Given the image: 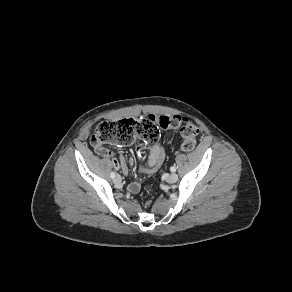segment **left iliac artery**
I'll use <instances>...</instances> for the list:
<instances>
[{
  "label": "left iliac artery",
  "mask_w": 292,
  "mask_h": 292,
  "mask_svg": "<svg viewBox=\"0 0 292 292\" xmlns=\"http://www.w3.org/2000/svg\"><path fill=\"white\" fill-rule=\"evenodd\" d=\"M170 170H171V172H175V171H176V168H175L174 166H172V167L170 168Z\"/></svg>",
  "instance_id": "44dca946"
}]
</instances>
